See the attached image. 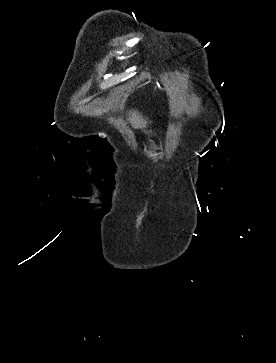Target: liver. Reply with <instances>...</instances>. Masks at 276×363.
Returning <instances> with one entry per match:
<instances>
[{
    "label": "liver",
    "instance_id": "1",
    "mask_svg": "<svg viewBox=\"0 0 276 363\" xmlns=\"http://www.w3.org/2000/svg\"><path fill=\"white\" fill-rule=\"evenodd\" d=\"M128 120L134 128H145L147 126V120L136 111L130 112V117Z\"/></svg>",
    "mask_w": 276,
    "mask_h": 363
}]
</instances>
